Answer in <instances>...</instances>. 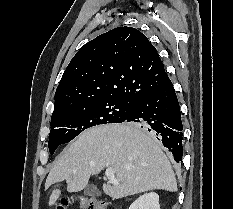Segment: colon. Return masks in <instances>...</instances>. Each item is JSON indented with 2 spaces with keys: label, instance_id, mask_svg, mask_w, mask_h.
Listing matches in <instances>:
<instances>
[{
  "label": "colon",
  "instance_id": "obj_1",
  "mask_svg": "<svg viewBox=\"0 0 233 209\" xmlns=\"http://www.w3.org/2000/svg\"><path fill=\"white\" fill-rule=\"evenodd\" d=\"M76 204L79 209H109L108 204L105 201H100L97 199H88L85 197H80L77 199ZM68 205V201H64L57 209H65Z\"/></svg>",
  "mask_w": 233,
  "mask_h": 209
}]
</instances>
